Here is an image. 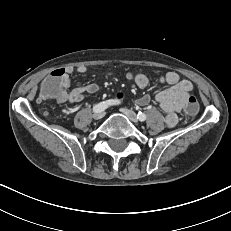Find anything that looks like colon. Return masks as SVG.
<instances>
[{
    "instance_id": "obj_1",
    "label": "colon",
    "mask_w": 231,
    "mask_h": 231,
    "mask_svg": "<svg viewBox=\"0 0 231 231\" xmlns=\"http://www.w3.org/2000/svg\"><path fill=\"white\" fill-rule=\"evenodd\" d=\"M63 77L64 72L61 69H56L47 77V79H44L41 82V91L38 95V100L41 103H46L49 99L56 100L61 96V91L58 85ZM182 108L183 114L186 117H195L198 114L199 109L198 98L195 95L186 97Z\"/></svg>"
}]
</instances>
